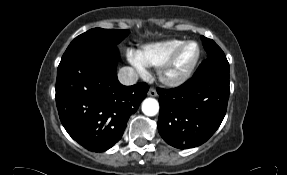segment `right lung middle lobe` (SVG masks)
I'll use <instances>...</instances> for the list:
<instances>
[{"instance_id":"right-lung-middle-lobe-1","label":"right lung middle lobe","mask_w":287,"mask_h":175,"mask_svg":"<svg viewBox=\"0 0 287 175\" xmlns=\"http://www.w3.org/2000/svg\"><path fill=\"white\" fill-rule=\"evenodd\" d=\"M129 34L128 30H110L94 28L77 36L68 46L62 56L61 62H66L77 56L105 51L118 57L115 46Z\"/></svg>"}]
</instances>
